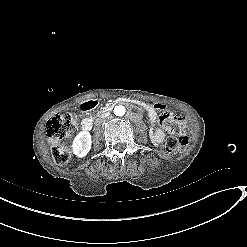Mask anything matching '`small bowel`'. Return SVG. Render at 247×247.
Masks as SVG:
<instances>
[{
	"mask_svg": "<svg viewBox=\"0 0 247 247\" xmlns=\"http://www.w3.org/2000/svg\"><path fill=\"white\" fill-rule=\"evenodd\" d=\"M144 108L150 122L152 123L156 122L159 111L154 110L151 104L145 105ZM176 123L182 129L185 127L184 121L180 117L176 116ZM164 138H165V134L162 128L156 127L151 131V141L154 145H161L164 142Z\"/></svg>",
	"mask_w": 247,
	"mask_h": 247,
	"instance_id": "c3829d8e",
	"label": "small bowel"
}]
</instances>
